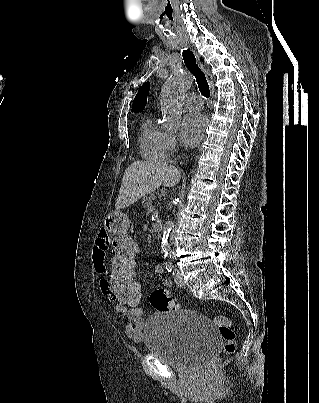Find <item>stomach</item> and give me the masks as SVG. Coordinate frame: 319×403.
<instances>
[{"label":"stomach","instance_id":"0dacf381","mask_svg":"<svg viewBox=\"0 0 319 403\" xmlns=\"http://www.w3.org/2000/svg\"><path fill=\"white\" fill-rule=\"evenodd\" d=\"M105 229L111 234H128L130 219L128 212L114 211L104 220Z\"/></svg>","mask_w":319,"mask_h":403}]
</instances>
